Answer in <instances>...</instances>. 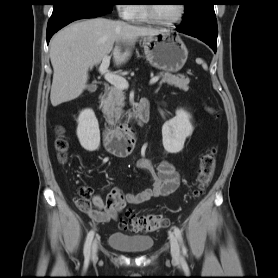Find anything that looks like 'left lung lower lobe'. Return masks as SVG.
<instances>
[{"mask_svg": "<svg viewBox=\"0 0 278 278\" xmlns=\"http://www.w3.org/2000/svg\"><path fill=\"white\" fill-rule=\"evenodd\" d=\"M177 31L200 39L208 44L216 53L217 35L213 34L205 23L184 24L177 27Z\"/></svg>", "mask_w": 278, "mask_h": 278, "instance_id": "left-lung-lower-lobe-1", "label": "left lung lower lobe"}]
</instances>
